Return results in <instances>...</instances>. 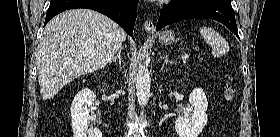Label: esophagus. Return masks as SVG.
Returning a JSON list of instances; mask_svg holds the SVG:
<instances>
[{"label": "esophagus", "instance_id": "34e87169", "mask_svg": "<svg viewBox=\"0 0 280 137\" xmlns=\"http://www.w3.org/2000/svg\"><path fill=\"white\" fill-rule=\"evenodd\" d=\"M144 29L148 32L153 34L155 31V26L152 20H146L144 22Z\"/></svg>", "mask_w": 280, "mask_h": 137}]
</instances>
